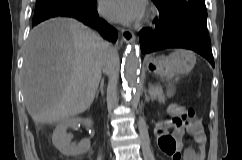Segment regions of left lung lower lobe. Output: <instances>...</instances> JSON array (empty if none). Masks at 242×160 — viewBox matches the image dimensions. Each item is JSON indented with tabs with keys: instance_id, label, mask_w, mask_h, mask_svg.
<instances>
[{
	"instance_id": "0a47b994",
	"label": "left lung lower lobe",
	"mask_w": 242,
	"mask_h": 160,
	"mask_svg": "<svg viewBox=\"0 0 242 160\" xmlns=\"http://www.w3.org/2000/svg\"><path fill=\"white\" fill-rule=\"evenodd\" d=\"M141 51L150 53L166 48H186L206 58L214 67L206 19H169L160 14L152 28L139 32Z\"/></svg>"
}]
</instances>
